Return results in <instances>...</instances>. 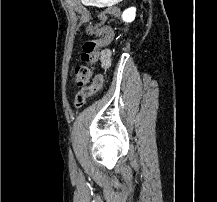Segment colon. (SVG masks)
<instances>
[{
    "label": "colon",
    "instance_id": "5ec220e1",
    "mask_svg": "<svg viewBox=\"0 0 217 202\" xmlns=\"http://www.w3.org/2000/svg\"><path fill=\"white\" fill-rule=\"evenodd\" d=\"M105 14L106 13L104 12L100 13L99 18L103 20ZM85 31L90 36L94 33H98L102 36L105 42H107L112 35V29L104 23H100L98 26L89 24L85 27ZM98 47L99 41L93 38H90L83 43L81 60L85 63V65L78 66L73 73L75 85L77 87L78 85L86 87L75 96V104L79 107L83 106L89 98L94 96L100 90L103 83V76L101 74H97L94 76V80L91 85L89 87L86 85L89 81V77L92 75L91 66L89 64L94 62Z\"/></svg>",
    "mask_w": 217,
    "mask_h": 202
}]
</instances>
